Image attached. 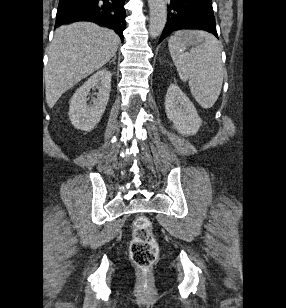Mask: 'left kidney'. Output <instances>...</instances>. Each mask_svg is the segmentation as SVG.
Listing matches in <instances>:
<instances>
[{"label":"left kidney","mask_w":286,"mask_h":308,"mask_svg":"<svg viewBox=\"0 0 286 308\" xmlns=\"http://www.w3.org/2000/svg\"><path fill=\"white\" fill-rule=\"evenodd\" d=\"M165 112L181 135H195L202 125L193 103L177 84H171L167 90Z\"/></svg>","instance_id":"left-kidney-1"}]
</instances>
